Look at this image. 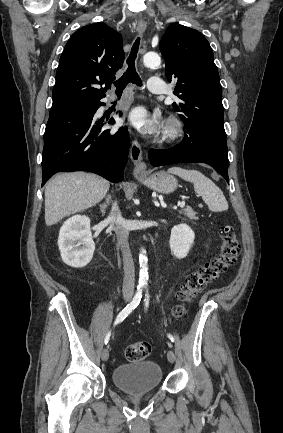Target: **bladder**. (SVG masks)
I'll use <instances>...</instances> for the list:
<instances>
[{"instance_id":"bladder-1","label":"bladder","mask_w":283,"mask_h":433,"mask_svg":"<svg viewBox=\"0 0 283 433\" xmlns=\"http://www.w3.org/2000/svg\"><path fill=\"white\" fill-rule=\"evenodd\" d=\"M161 379L159 364L152 360L118 366L112 374L113 384L123 392L152 391L160 386Z\"/></svg>"}]
</instances>
